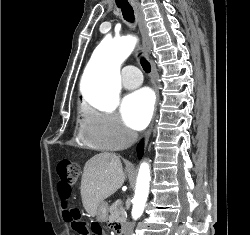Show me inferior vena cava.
Segmentation results:
<instances>
[{
    "label": "inferior vena cava",
    "instance_id": "1",
    "mask_svg": "<svg viewBox=\"0 0 250 235\" xmlns=\"http://www.w3.org/2000/svg\"><path fill=\"white\" fill-rule=\"evenodd\" d=\"M137 133L130 131V130H126L125 131V144L126 146L131 145L133 142H135L137 140ZM133 228H134V224L133 223H127L125 225L124 228V235H134L133 234Z\"/></svg>",
    "mask_w": 250,
    "mask_h": 235
}]
</instances>
